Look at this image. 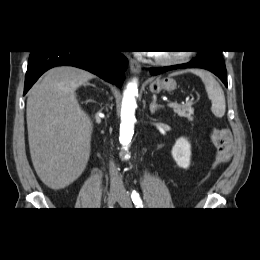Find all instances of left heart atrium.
Returning a JSON list of instances; mask_svg holds the SVG:
<instances>
[{
  "instance_id": "left-heart-atrium-1",
  "label": "left heart atrium",
  "mask_w": 260,
  "mask_h": 260,
  "mask_svg": "<svg viewBox=\"0 0 260 260\" xmlns=\"http://www.w3.org/2000/svg\"><path fill=\"white\" fill-rule=\"evenodd\" d=\"M149 54H151V55H152V54H153V52H150Z\"/></svg>"
}]
</instances>
